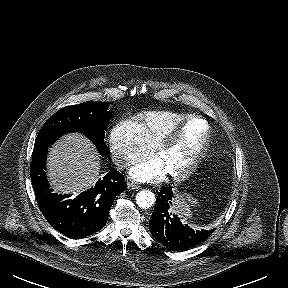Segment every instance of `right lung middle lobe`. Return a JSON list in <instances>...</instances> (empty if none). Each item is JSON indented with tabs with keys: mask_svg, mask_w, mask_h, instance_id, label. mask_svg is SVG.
Returning <instances> with one entry per match:
<instances>
[{
	"mask_svg": "<svg viewBox=\"0 0 288 288\" xmlns=\"http://www.w3.org/2000/svg\"><path fill=\"white\" fill-rule=\"evenodd\" d=\"M108 106V102L87 101L59 110L39 131L34 150L48 148L61 135L77 131L93 141L101 154H108V147L104 142V130L108 126L110 117Z\"/></svg>",
	"mask_w": 288,
	"mask_h": 288,
	"instance_id": "dd1d6c3e",
	"label": "right lung middle lobe"
}]
</instances>
